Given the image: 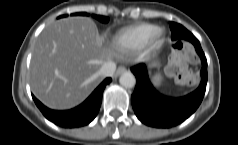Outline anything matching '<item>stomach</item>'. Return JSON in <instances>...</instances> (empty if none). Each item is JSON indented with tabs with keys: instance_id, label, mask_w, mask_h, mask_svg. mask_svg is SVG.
I'll return each mask as SVG.
<instances>
[{
	"instance_id": "stomach-1",
	"label": "stomach",
	"mask_w": 238,
	"mask_h": 145,
	"mask_svg": "<svg viewBox=\"0 0 238 145\" xmlns=\"http://www.w3.org/2000/svg\"><path fill=\"white\" fill-rule=\"evenodd\" d=\"M153 82L155 83V85L159 86L162 83V76L160 74H156L153 77Z\"/></svg>"
}]
</instances>
